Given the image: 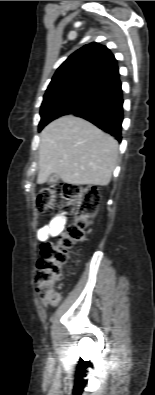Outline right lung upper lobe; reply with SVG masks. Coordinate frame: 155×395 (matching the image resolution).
<instances>
[{
	"mask_svg": "<svg viewBox=\"0 0 155 395\" xmlns=\"http://www.w3.org/2000/svg\"><path fill=\"white\" fill-rule=\"evenodd\" d=\"M119 76L117 60L99 43L87 44L71 54L57 69L48 87L69 82H86L104 87Z\"/></svg>",
	"mask_w": 155,
	"mask_h": 395,
	"instance_id": "1",
	"label": "right lung upper lobe"
}]
</instances>
